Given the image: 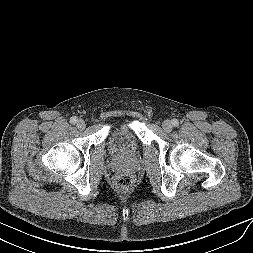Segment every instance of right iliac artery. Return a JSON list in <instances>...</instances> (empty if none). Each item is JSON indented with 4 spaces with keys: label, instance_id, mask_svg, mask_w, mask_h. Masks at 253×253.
<instances>
[{
    "label": "right iliac artery",
    "instance_id": "obj_1",
    "mask_svg": "<svg viewBox=\"0 0 253 253\" xmlns=\"http://www.w3.org/2000/svg\"><path fill=\"white\" fill-rule=\"evenodd\" d=\"M77 122V117L76 116H73L70 118V123L71 124H75Z\"/></svg>",
    "mask_w": 253,
    "mask_h": 253
}]
</instances>
